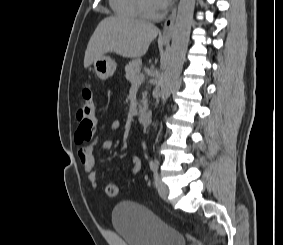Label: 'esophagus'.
Returning a JSON list of instances; mask_svg holds the SVG:
<instances>
[{
    "mask_svg": "<svg viewBox=\"0 0 283 245\" xmlns=\"http://www.w3.org/2000/svg\"><path fill=\"white\" fill-rule=\"evenodd\" d=\"M176 18V8L173 9L172 13L169 15V17L166 19L163 30L159 36V38L162 41H170L173 34V28H174V21Z\"/></svg>",
    "mask_w": 283,
    "mask_h": 245,
    "instance_id": "esophagus-1",
    "label": "esophagus"
}]
</instances>
